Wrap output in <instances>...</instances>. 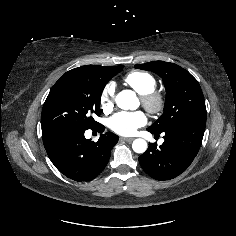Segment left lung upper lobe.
<instances>
[{"instance_id":"obj_1","label":"left lung upper lobe","mask_w":236,"mask_h":236,"mask_svg":"<svg viewBox=\"0 0 236 236\" xmlns=\"http://www.w3.org/2000/svg\"><path fill=\"white\" fill-rule=\"evenodd\" d=\"M135 68L158 74L166 87L164 113L147 128L148 131L160 134L180 122L206 119L205 100L201 87L187 70L164 61L137 64Z\"/></svg>"}]
</instances>
